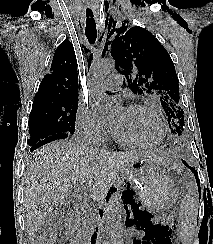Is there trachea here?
<instances>
[{
    "instance_id": "1",
    "label": "trachea",
    "mask_w": 213,
    "mask_h": 244,
    "mask_svg": "<svg viewBox=\"0 0 213 244\" xmlns=\"http://www.w3.org/2000/svg\"><path fill=\"white\" fill-rule=\"evenodd\" d=\"M86 16H87V20H86L85 35L89 43L94 44L97 38V30H96V22L93 18V13L90 9H87Z\"/></svg>"
}]
</instances>
